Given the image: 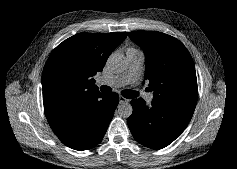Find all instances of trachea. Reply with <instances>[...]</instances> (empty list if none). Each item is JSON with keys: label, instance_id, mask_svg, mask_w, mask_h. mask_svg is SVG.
<instances>
[{"label": "trachea", "instance_id": "3493384b", "mask_svg": "<svg viewBox=\"0 0 237 169\" xmlns=\"http://www.w3.org/2000/svg\"><path fill=\"white\" fill-rule=\"evenodd\" d=\"M100 90H101L103 93H109V92H110V87L103 85V86L100 87ZM122 94H123V96L126 97V98H135V97L138 96V92L133 91V90H126V91H123Z\"/></svg>", "mask_w": 237, "mask_h": 169}]
</instances>
